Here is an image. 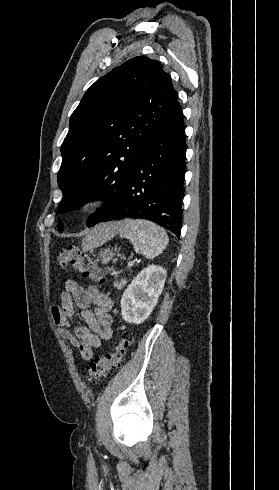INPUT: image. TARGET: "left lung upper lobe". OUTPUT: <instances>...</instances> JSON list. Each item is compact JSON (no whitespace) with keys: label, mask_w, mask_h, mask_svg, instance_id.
<instances>
[{"label":"left lung upper lobe","mask_w":279,"mask_h":490,"mask_svg":"<svg viewBox=\"0 0 279 490\" xmlns=\"http://www.w3.org/2000/svg\"><path fill=\"white\" fill-rule=\"evenodd\" d=\"M178 105L170 75L145 56L97 80L72 113L61 146L58 213L102 197L108 202L88 226L100 222L115 207L145 142ZM58 230L63 231L61 222Z\"/></svg>","instance_id":"5c2ea615"}]
</instances>
